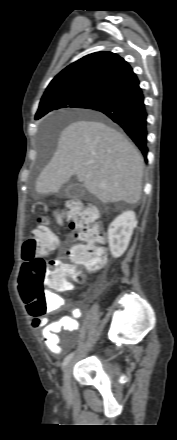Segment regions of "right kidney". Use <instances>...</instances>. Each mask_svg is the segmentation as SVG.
<instances>
[{
	"label": "right kidney",
	"mask_w": 177,
	"mask_h": 440,
	"mask_svg": "<svg viewBox=\"0 0 177 440\" xmlns=\"http://www.w3.org/2000/svg\"><path fill=\"white\" fill-rule=\"evenodd\" d=\"M136 224L137 220L133 211L123 212L110 224L108 242L114 258L120 257L126 251Z\"/></svg>",
	"instance_id": "ca27d5eb"
}]
</instances>
